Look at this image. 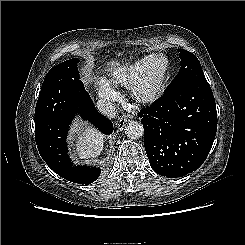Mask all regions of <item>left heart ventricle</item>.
<instances>
[{
  "mask_svg": "<svg viewBox=\"0 0 245 245\" xmlns=\"http://www.w3.org/2000/svg\"><path fill=\"white\" fill-rule=\"evenodd\" d=\"M163 68V61L160 59H156L152 62L149 74L150 85H153L157 80L159 74L161 73Z\"/></svg>",
  "mask_w": 245,
  "mask_h": 245,
  "instance_id": "1",
  "label": "left heart ventricle"
}]
</instances>
